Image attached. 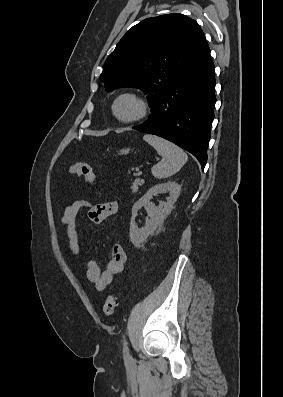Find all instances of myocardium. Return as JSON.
Returning a JSON list of instances; mask_svg holds the SVG:
<instances>
[{
    "instance_id": "1",
    "label": "myocardium",
    "mask_w": 283,
    "mask_h": 397,
    "mask_svg": "<svg viewBox=\"0 0 283 397\" xmlns=\"http://www.w3.org/2000/svg\"><path fill=\"white\" fill-rule=\"evenodd\" d=\"M123 98H132L138 103L139 111L135 116L130 117V118H122L117 114L116 106H117L118 102ZM111 110H112L113 116L119 122H122L125 124H131V123H136L138 121H141L149 114L150 104H149L148 100L142 94H140L138 92H134V91H126V92L120 93L119 95H117L115 97V99L113 100L112 106H111Z\"/></svg>"
}]
</instances>
